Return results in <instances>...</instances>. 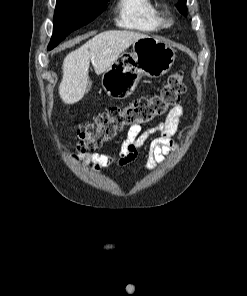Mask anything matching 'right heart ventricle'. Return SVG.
Returning <instances> with one entry per match:
<instances>
[{
	"label": "right heart ventricle",
	"instance_id": "e07e8e85",
	"mask_svg": "<svg viewBox=\"0 0 247 296\" xmlns=\"http://www.w3.org/2000/svg\"><path fill=\"white\" fill-rule=\"evenodd\" d=\"M117 25L138 32L151 33L161 28L159 10L153 0H119Z\"/></svg>",
	"mask_w": 247,
	"mask_h": 296
}]
</instances>
